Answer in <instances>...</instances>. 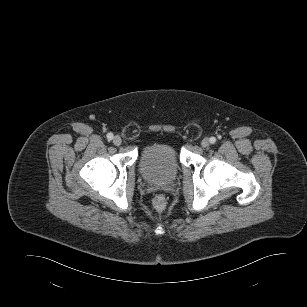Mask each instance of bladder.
<instances>
[{
	"instance_id": "31cf9c89",
	"label": "bladder",
	"mask_w": 307,
	"mask_h": 307,
	"mask_svg": "<svg viewBox=\"0 0 307 307\" xmlns=\"http://www.w3.org/2000/svg\"><path fill=\"white\" fill-rule=\"evenodd\" d=\"M180 156L177 148L167 142L147 146L139 160V170L143 178L151 183H169L180 170Z\"/></svg>"
}]
</instances>
